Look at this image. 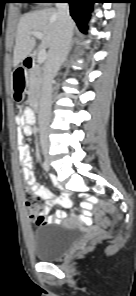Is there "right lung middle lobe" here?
<instances>
[{"label": "right lung middle lobe", "instance_id": "1", "mask_svg": "<svg viewBox=\"0 0 136 296\" xmlns=\"http://www.w3.org/2000/svg\"><path fill=\"white\" fill-rule=\"evenodd\" d=\"M21 2H35L34 0H23Z\"/></svg>", "mask_w": 136, "mask_h": 296}]
</instances>
